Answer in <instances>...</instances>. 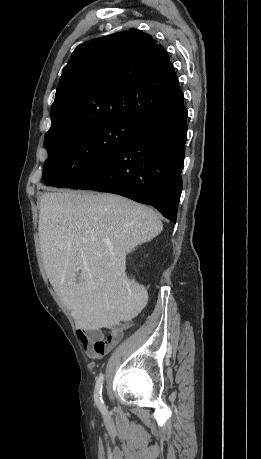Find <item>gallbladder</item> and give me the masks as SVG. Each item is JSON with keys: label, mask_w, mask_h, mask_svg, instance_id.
I'll list each match as a JSON object with an SVG mask.
<instances>
[{"label": "gallbladder", "mask_w": 261, "mask_h": 459, "mask_svg": "<svg viewBox=\"0 0 261 459\" xmlns=\"http://www.w3.org/2000/svg\"><path fill=\"white\" fill-rule=\"evenodd\" d=\"M79 277H80V272L77 273V276H76V282L78 283L79 282Z\"/></svg>", "instance_id": "obj_1"}]
</instances>
